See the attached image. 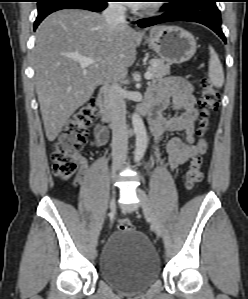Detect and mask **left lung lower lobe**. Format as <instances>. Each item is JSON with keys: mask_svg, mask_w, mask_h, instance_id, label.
I'll use <instances>...</instances> for the list:
<instances>
[{"mask_svg": "<svg viewBox=\"0 0 248 299\" xmlns=\"http://www.w3.org/2000/svg\"><path fill=\"white\" fill-rule=\"evenodd\" d=\"M166 12L158 17L138 21L140 27L181 20L201 23L212 29L226 43L221 29V14L216 6L217 0H168Z\"/></svg>", "mask_w": 248, "mask_h": 299, "instance_id": "1", "label": "left lung lower lobe"}]
</instances>
